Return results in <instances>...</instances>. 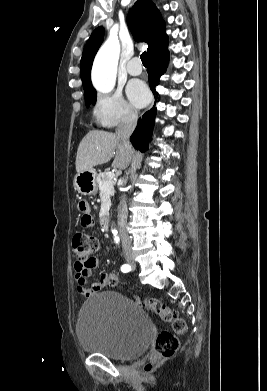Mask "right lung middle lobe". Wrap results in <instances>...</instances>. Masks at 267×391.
Returning <instances> with one entry per match:
<instances>
[{"label":"right lung middle lobe","mask_w":267,"mask_h":391,"mask_svg":"<svg viewBox=\"0 0 267 391\" xmlns=\"http://www.w3.org/2000/svg\"><path fill=\"white\" fill-rule=\"evenodd\" d=\"M85 101H86V106L89 107L90 104H95L96 103V91H88L85 92Z\"/></svg>","instance_id":"obj_1"}]
</instances>
